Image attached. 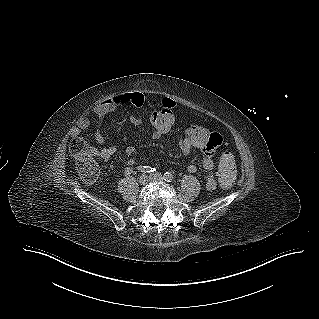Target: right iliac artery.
<instances>
[{"instance_id": "82829eb1", "label": "right iliac artery", "mask_w": 319, "mask_h": 319, "mask_svg": "<svg viewBox=\"0 0 319 319\" xmlns=\"http://www.w3.org/2000/svg\"><path fill=\"white\" fill-rule=\"evenodd\" d=\"M138 171H140L142 173H152V172L156 171V169L151 168L149 166H139Z\"/></svg>"}]
</instances>
